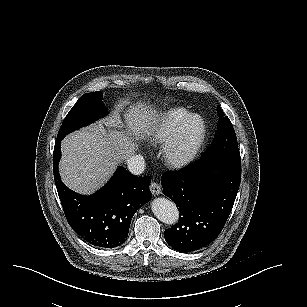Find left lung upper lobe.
I'll use <instances>...</instances> for the list:
<instances>
[{
	"mask_svg": "<svg viewBox=\"0 0 307 307\" xmlns=\"http://www.w3.org/2000/svg\"><path fill=\"white\" fill-rule=\"evenodd\" d=\"M221 119L212 144L201 157L202 160H231L241 162L234 128L221 107H217Z\"/></svg>",
	"mask_w": 307,
	"mask_h": 307,
	"instance_id": "left-lung-upper-lobe-1",
	"label": "left lung upper lobe"
}]
</instances>
